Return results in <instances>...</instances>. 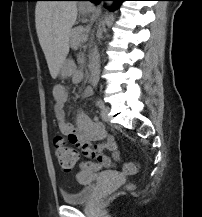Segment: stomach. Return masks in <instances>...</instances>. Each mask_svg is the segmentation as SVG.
Wrapping results in <instances>:
<instances>
[{
    "label": "stomach",
    "instance_id": "1",
    "mask_svg": "<svg viewBox=\"0 0 202 217\" xmlns=\"http://www.w3.org/2000/svg\"><path fill=\"white\" fill-rule=\"evenodd\" d=\"M83 12L85 13L89 12V9H84ZM75 70H76L75 64L72 61L66 60L61 66L57 76L60 79H65L73 75Z\"/></svg>",
    "mask_w": 202,
    "mask_h": 217
}]
</instances>
